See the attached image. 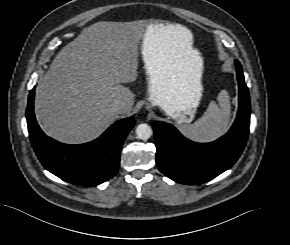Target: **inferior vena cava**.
I'll return each instance as SVG.
<instances>
[{
  "label": "inferior vena cava",
  "instance_id": "1",
  "mask_svg": "<svg viewBox=\"0 0 290 245\" xmlns=\"http://www.w3.org/2000/svg\"><path fill=\"white\" fill-rule=\"evenodd\" d=\"M125 108V105L122 101L118 100L116 102L113 103V109L116 111V112H122Z\"/></svg>",
  "mask_w": 290,
  "mask_h": 245
}]
</instances>
